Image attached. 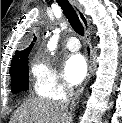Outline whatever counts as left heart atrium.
<instances>
[{
  "instance_id": "1",
  "label": "left heart atrium",
  "mask_w": 122,
  "mask_h": 123,
  "mask_svg": "<svg viewBox=\"0 0 122 123\" xmlns=\"http://www.w3.org/2000/svg\"><path fill=\"white\" fill-rule=\"evenodd\" d=\"M64 73L71 85H77L87 75V64L81 54L69 55L64 62Z\"/></svg>"
}]
</instances>
